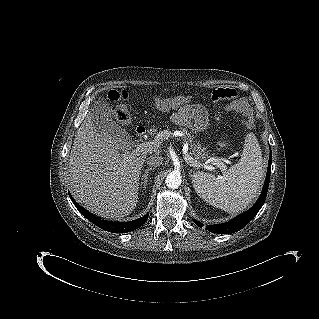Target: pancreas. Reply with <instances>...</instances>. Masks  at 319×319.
Masks as SVG:
<instances>
[{
  "label": "pancreas",
  "instance_id": "cf45deb5",
  "mask_svg": "<svg viewBox=\"0 0 319 319\" xmlns=\"http://www.w3.org/2000/svg\"><path fill=\"white\" fill-rule=\"evenodd\" d=\"M182 132H184L183 138L189 143L191 154L195 156L196 159H207L208 158V152L204 147L201 146V144L195 140V137L192 136L187 130L183 129ZM150 135L156 136V142L161 141L163 139L157 138V129L153 127L149 131Z\"/></svg>",
  "mask_w": 319,
  "mask_h": 319
}]
</instances>
